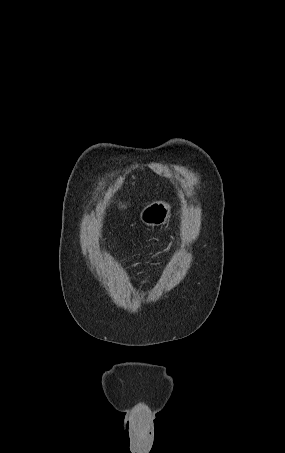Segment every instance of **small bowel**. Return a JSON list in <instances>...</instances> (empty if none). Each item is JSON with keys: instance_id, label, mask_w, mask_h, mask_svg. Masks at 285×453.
<instances>
[{"instance_id": "1", "label": "small bowel", "mask_w": 285, "mask_h": 453, "mask_svg": "<svg viewBox=\"0 0 285 453\" xmlns=\"http://www.w3.org/2000/svg\"><path fill=\"white\" fill-rule=\"evenodd\" d=\"M147 284H148V281H146V280H143V281L139 282L140 286H146Z\"/></svg>"}]
</instances>
